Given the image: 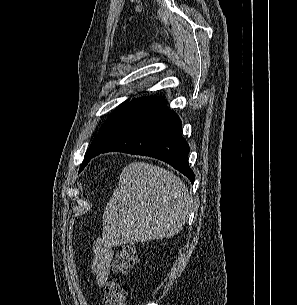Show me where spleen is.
<instances>
[{"instance_id":"1","label":"spleen","mask_w":297,"mask_h":305,"mask_svg":"<svg viewBox=\"0 0 297 305\" xmlns=\"http://www.w3.org/2000/svg\"><path fill=\"white\" fill-rule=\"evenodd\" d=\"M191 199L182 180L145 162L128 164L104 214V233L118 244L171 238L186 223Z\"/></svg>"}]
</instances>
